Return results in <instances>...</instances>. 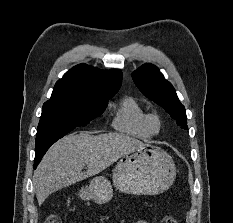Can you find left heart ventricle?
I'll use <instances>...</instances> for the list:
<instances>
[{
  "instance_id": "left-heart-ventricle-1",
  "label": "left heart ventricle",
  "mask_w": 233,
  "mask_h": 223,
  "mask_svg": "<svg viewBox=\"0 0 233 223\" xmlns=\"http://www.w3.org/2000/svg\"><path fill=\"white\" fill-rule=\"evenodd\" d=\"M154 128H155L156 130L159 129V124H158V123H155Z\"/></svg>"
}]
</instances>
